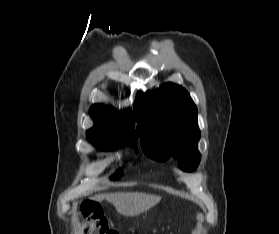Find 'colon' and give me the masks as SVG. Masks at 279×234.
Returning <instances> with one entry per match:
<instances>
[{
  "instance_id": "1",
  "label": "colon",
  "mask_w": 279,
  "mask_h": 234,
  "mask_svg": "<svg viewBox=\"0 0 279 234\" xmlns=\"http://www.w3.org/2000/svg\"><path fill=\"white\" fill-rule=\"evenodd\" d=\"M82 211V227L87 234H119L110 227L99 206L85 203Z\"/></svg>"
}]
</instances>
